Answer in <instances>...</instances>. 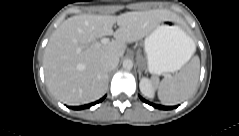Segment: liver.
I'll return each instance as SVG.
<instances>
[{
    "mask_svg": "<svg viewBox=\"0 0 239 136\" xmlns=\"http://www.w3.org/2000/svg\"><path fill=\"white\" fill-rule=\"evenodd\" d=\"M177 16L166 9L112 15H77L66 19L52 33L45 48L43 67L50 92L68 105H81L101 98L108 88L105 57H123L126 43L148 36L161 22ZM119 28L114 32L113 26ZM114 36L97 46V39Z\"/></svg>",
    "mask_w": 239,
    "mask_h": 136,
    "instance_id": "obj_1",
    "label": "liver"
}]
</instances>
